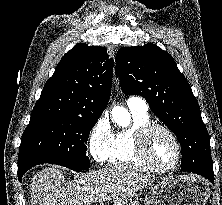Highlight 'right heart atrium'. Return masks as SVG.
Masks as SVG:
<instances>
[{
  "label": "right heart atrium",
  "instance_id": "d8ad5b80",
  "mask_svg": "<svg viewBox=\"0 0 222 205\" xmlns=\"http://www.w3.org/2000/svg\"><path fill=\"white\" fill-rule=\"evenodd\" d=\"M112 131L108 120L101 117L97 120L90 131L89 149L93 158L98 161H104L112 142Z\"/></svg>",
  "mask_w": 222,
  "mask_h": 205
}]
</instances>
